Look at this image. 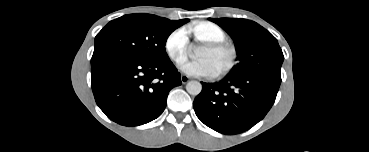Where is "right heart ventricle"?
Wrapping results in <instances>:
<instances>
[{
	"instance_id": "e07e8e85",
	"label": "right heart ventricle",
	"mask_w": 369,
	"mask_h": 152,
	"mask_svg": "<svg viewBox=\"0 0 369 152\" xmlns=\"http://www.w3.org/2000/svg\"><path fill=\"white\" fill-rule=\"evenodd\" d=\"M192 33L197 39L205 42H221L226 39V34L221 27L209 21H200L187 30Z\"/></svg>"
}]
</instances>
